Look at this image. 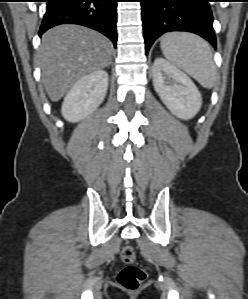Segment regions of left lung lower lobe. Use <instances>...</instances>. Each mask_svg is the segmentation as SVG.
Segmentation results:
<instances>
[{
  "mask_svg": "<svg viewBox=\"0 0 248 299\" xmlns=\"http://www.w3.org/2000/svg\"><path fill=\"white\" fill-rule=\"evenodd\" d=\"M146 54L154 41L170 31H188L216 47L210 0H140Z\"/></svg>",
  "mask_w": 248,
  "mask_h": 299,
  "instance_id": "1",
  "label": "left lung lower lobe"
}]
</instances>
